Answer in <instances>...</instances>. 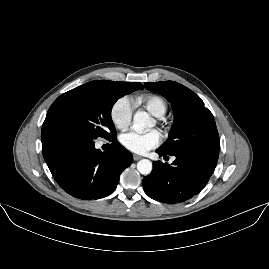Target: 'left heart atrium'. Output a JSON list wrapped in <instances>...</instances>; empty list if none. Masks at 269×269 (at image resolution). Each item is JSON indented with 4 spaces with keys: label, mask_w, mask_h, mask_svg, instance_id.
Listing matches in <instances>:
<instances>
[{
    "label": "left heart atrium",
    "mask_w": 269,
    "mask_h": 269,
    "mask_svg": "<svg viewBox=\"0 0 269 269\" xmlns=\"http://www.w3.org/2000/svg\"><path fill=\"white\" fill-rule=\"evenodd\" d=\"M121 146L129 152L135 154H144L150 149L160 145L162 137L159 131L152 130L147 133L136 131H127L120 135Z\"/></svg>",
    "instance_id": "39dd6f15"
}]
</instances>
